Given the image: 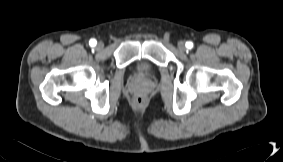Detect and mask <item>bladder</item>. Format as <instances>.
Listing matches in <instances>:
<instances>
[{
  "instance_id": "bladder-1",
  "label": "bladder",
  "mask_w": 283,
  "mask_h": 162,
  "mask_svg": "<svg viewBox=\"0 0 283 162\" xmlns=\"http://www.w3.org/2000/svg\"><path fill=\"white\" fill-rule=\"evenodd\" d=\"M153 71L152 64L147 60H139L135 63V72L141 76H147Z\"/></svg>"
}]
</instances>
